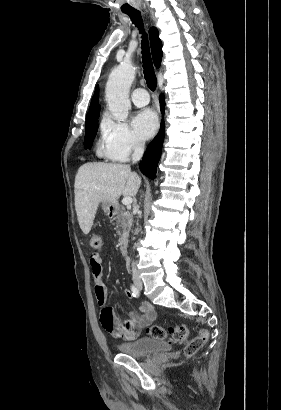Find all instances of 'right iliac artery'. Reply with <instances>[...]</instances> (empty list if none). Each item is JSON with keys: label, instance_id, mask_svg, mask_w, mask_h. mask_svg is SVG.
<instances>
[{"label": "right iliac artery", "instance_id": "1", "mask_svg": "<svg viewBox=\"0 0 281 410\" xmlns=\"http://www.w3.org/2000/svg\"><path fill=\"white\" fill-rule=\"evenodd\" d=\"M131 290H132V292H133V296H134V297H138V296H139V290L137 289L136 286L132 285V286H131Z\"/></svg>", "mask_w": 281, "mask_h": 410}]
</instances>
